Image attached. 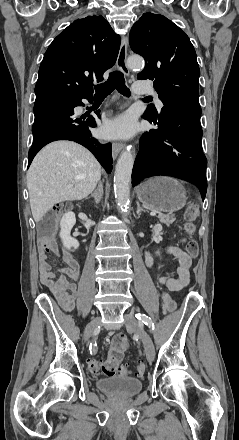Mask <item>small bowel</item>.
I'll list each match as a JSON object with an SVG mask.
<instances>
[{"instance_id":"small-bowel-1","label":"small bowel","mask_w":239,"mask_h":440,"mask_svg":"<svg viewBox=\"0 0 239 440\" xmlns=\"http://www.w3.org/2000/svg\"><path fill=\"white\" fill-rule=\"evenodd\" d=\"M166 251L178 260L177 277H159L158 280L160 284L166 286L169 290L180 291L189 284L192 259L187 253L174 246L167 247ZM49 252H53L56 256L60 255L58 246L55 243L39 246L41 282L53 293L60 305L65 310L70 311L75 307L76 302L77 286L74 281L80 275L79 263L71 253L64 251L61 257L65 266L60 269L61 275L57 278L48 261ZM145 258L146 264L151 267L154 262L153 257L146 252Z\"/></svg>"}]
</instances>
